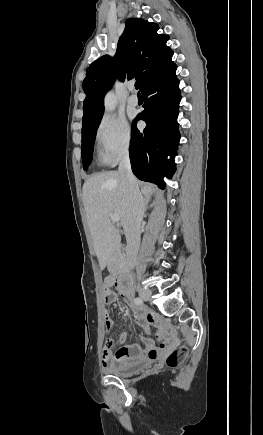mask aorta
Masks as SVG:
<instances>
[{"instance_id":"obj_1","label":"aorta","mask_w":263,"mask_h":435,"mask_svg":"<svg viewBox=\"0 0 263 435\" xmlns=\"http://www.w3.org/2000/svg\"><path fill=\"white\" fill-rule=\"evenodd\" d=\"M115 109V101L112 93L108 94L105 98V110L112 112Z\"/></svg>"}]
</instances>
